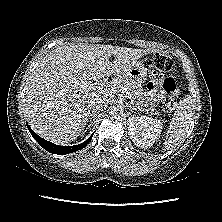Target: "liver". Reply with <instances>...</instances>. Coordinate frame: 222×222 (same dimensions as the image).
I'll return each instance as SVG.
<instances>
[{"mask_svg": "<svg viewBox=\"0 0 222 222\" xmlns=\"http://www.w3.org/2000/svg\"><path fill=\"white\" fill-rule=\"evenodd\" d=\"M151 52L101 44L58 46L41 58L30 76L24 99L30 127L55 144L75 140L88 122L92 101L116 91L114 82L101 79L123 78L130 65ZM83 82L93 85L82 87Z\"/></svg>", "mask_w": 222, "mask_h": 222, "instance_id": "obj_1", "label": "liver"}]
</instances>
